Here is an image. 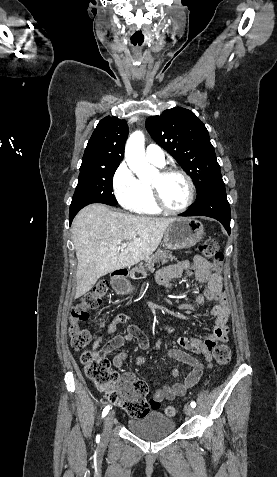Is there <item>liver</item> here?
<instances>
[{"instance_id":"1","label":"liver","mask_w":277,"mask_h":477,"mask_svg":"<svg viewBox=\"0 0 277 477\" xmlns=\"http://www.w3.org/2000/svg\"><path fill=\"white\" fill-rule=\"evenodd\" d=\"M173 220L116 212L103 204L83 208L72 223L78 261L75 299L90 291L100 277L149 257ZM124 240L128 245L119 253Z\"/></svg>"}]
</instances>
